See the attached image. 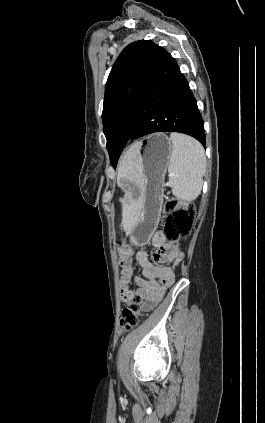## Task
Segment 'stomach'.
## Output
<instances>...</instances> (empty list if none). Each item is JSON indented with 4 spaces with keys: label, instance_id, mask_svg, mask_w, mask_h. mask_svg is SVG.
Here are the masks:
<instances>
[{
    "label": "stomach",
    "instance_id": "stomach-1",
    "mask_svg": "<svg viewBox=\"0 0 265 423\" xmlns=\"http://www.w3.org/2000/svg\"><path fill=\"white\" fill-rule=\"evenodd\" d=\"M138 143L136 162L142 178L135 185L139 191L141 204L138 219L130 232L131 243L143 246L155 232L162 213L164 176L170 162L172 142L164 133L146 136Z\"/></svg>",
    "mask_w": 265,
    "mask_h": 423
}]
</instances>
